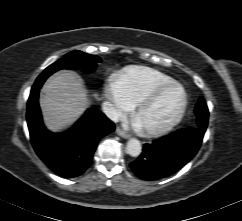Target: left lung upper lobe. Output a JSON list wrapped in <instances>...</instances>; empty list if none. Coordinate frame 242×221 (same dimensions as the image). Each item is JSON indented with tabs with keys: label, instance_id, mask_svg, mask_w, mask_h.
I'll return each instance as SVG.
<instances>
[{
	"label": "left lung upper lobe",
	"instance_id": "obj_1",
	"mask_svg": "<svg viewBox=\"0 0 242 221\" xmlns=\"http://www.w3.org/2000/svg\"><path fill=\"white\" fill-rule=\"evenodd\" d=\"M195 115L197 118L196 122L198 127L207 126L209 112L203 98H200L196 105Z\"/></svg>",
	"mask_w": 242,
	"mask_h": 221
}]
</instances>
